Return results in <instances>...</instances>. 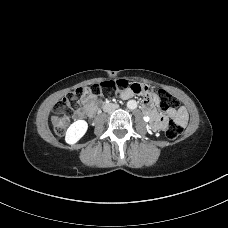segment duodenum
I'll return each instance as SVG.
<instances>
[{"label":"duodenum","instance_id":"duodenum-1","mask_svg":"<svg viewBox=\"0 0 228 228\" xmlns=\"http://www.w3.org/2000/svg\"><path fill=\"white\" fill-rule=\"evenodd\" d=\"M150 126L151 127L153 126V119L152 118L150 119Z\"/></svg>","mask_w":228,"mask_h":228}]
</instances>
